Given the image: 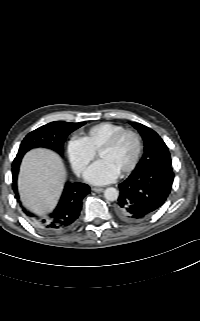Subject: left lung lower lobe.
Masks as SVG:
<instances>
[{
	"label": "left lung lower lobe",
	"mask_w": 200,
	"mask_h": 321,
	"mask_svg": "<svg viewBox=\"0 0 200 321\" xmlns=\"http://www.w3.org/2000/svg\"><path fill=\"white\" fill-rule=\"evenodd\" d=\"M174 180L172 167L147 166L135 169L119 184L115 211L120 220L134 223L148 218L166 201Z\"/></svg>",
	"instance_id": "obj_1"
}]
</instances>
